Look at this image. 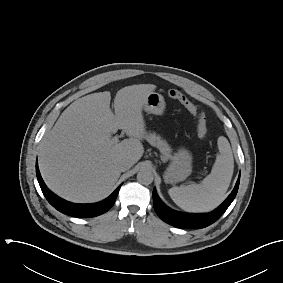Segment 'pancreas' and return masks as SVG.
<instances>
[{"label": "pancreas", "instance_id": "pancreas-1", "mask_svg": "<svg viewBox=\"0 0 283 283\" xmlns=\"http://www.w3.org/2000/svg\"><path fill=\"white\" fill-rule=\"evenodd\" d=\"M147 140L152 146H156L165 159L171 158V148L165 140H162L159 135L150 133L147 135Z\"/></svg>", "mask_w": 283, "mask_h": 283}]
</instances>
